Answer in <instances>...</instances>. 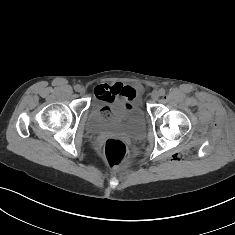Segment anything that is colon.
<instances>
[{
  "label": "colon",
  "mask_w": 235,
  "mask_h": 235,
  "mask_svg": "<svg viewBox=\"0 0 235 235\" xmlns=\"http://www.w3.org/2000/svg\"><path fill=\"white\" fill-rule=\"evenodd\" d=\"M108 114V109L104 110ZM104 154L108 166L112 169H118L128 160V149L125 143L118 138H109L104 143Z\"/></svg>",
  "instance_id": "5ec220e1"
}]
</instances>
